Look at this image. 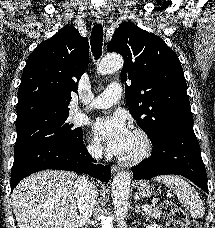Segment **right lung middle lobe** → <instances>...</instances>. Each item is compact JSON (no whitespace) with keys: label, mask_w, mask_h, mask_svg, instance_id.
Instances as JSON below:
<instances>
[{"label":"right lung middle lobe","mask_w":215,"mask_h":228,"mask_svg":"<svg viewBox=\"0 0 215 228\" xmlns=\"http://www.w3.org/2000/svg\"><path fill=\"white\" fill-rule=\"evenodd\" d=\"M69 113L42 115L16 122L17 139L14 151L27 145L48 140L83 142L81 128L67 122Z\"/></svg>","instance_id":"right-lung-middle-lobe-1"}]
</instances>
